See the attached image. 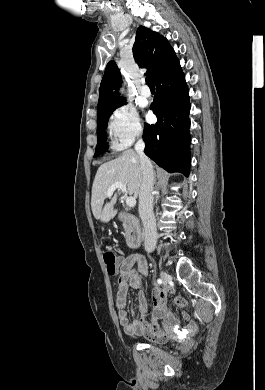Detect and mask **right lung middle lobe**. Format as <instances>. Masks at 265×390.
<instances>
[{"instance_id": "right-lung-middle-lobe-1", "label": "right lung middle lobe", "mask_w": 265, "mask_h": 390, "mask_svg": "<svg viewBox=\"0 0 265 390\" xmlns=\"http://www.w3.org/2000/svg\"><path fill=\"white\" fill-rule=\"evenodd\" d=\"M125 104V103H123ZM122 104V105H123ZM120 105V106H122ZM118 106V107H120ZM116 107V108H118ZM111 109L103 114H101L99 117H97V146H96V151L94 157H98L99 155L103 154L107 149V143L105 142L106 140V128H107V123L108 119L111 115V113L116 109Z\"/></svg>"}]
</instances>
